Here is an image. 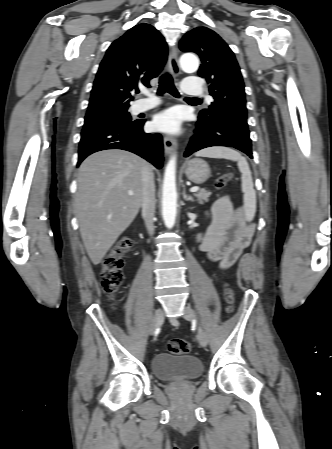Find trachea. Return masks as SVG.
I'll return each instance as SVG.
<instances>
[{
    "mask_svg": "<svg viewBox=\"0 0 332 449\" xmlns=\"http://www.w3.org/2000/svg\"><path fill=\"white\" fill-rule=\"evenodd\" d=\"M168 92L175 97H179V92L177 91L173 78L169 73H165L160 77L159 87L157 90L158 95H162L163 93ZM189 100L201 101L198 98H187Z\"/></svg>",
    "mask_w": 332,
    "mask_h": 449,
    "instance_id": "1",
    "label": "trachea"
}]
</instances>
